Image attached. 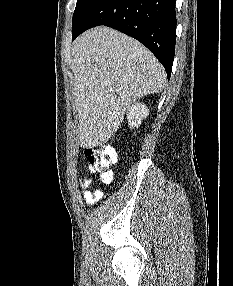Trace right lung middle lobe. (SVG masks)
Returning <instances> with one entry per match:
<instances>
[{
  "label": "right lung middle lobe",
  "instance_id": "right-lung-middle-lobe-1",
  "mask_svg": "<svg viewBox=\"0 0 233 286\" xmlns=\"http://www.w3.org/2000/svg\"><path fill=\"white\" fill-rule=\"evenodd\" d=\"M92 0H77L76 8L73 13L72 28L80 21L88 9Z\"/></svg>",
  "mask_w": 233,
  "mask_h": 286
}]
</instances>
